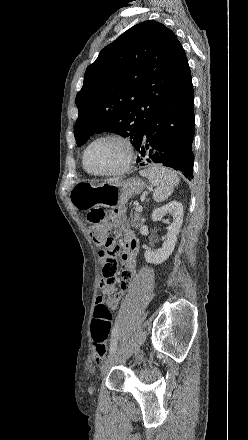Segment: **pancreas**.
Returning a JSON list of instances; mask_svg holds the SVG:
<instances>
[{
	"mask_svg": "<svg viewBox=\"0 0 248 440\" xmlns=\"http://www.w3.org/2000/svg\"><path fill=\"white\" fill-rule=\"evenodd\" d=\"M140 217H141V214L138 211H136L134 214H131L130 222L132 224V227H135V228L139 227Z\"/></svg>",
	"mask_w": 248,
	"mask_h": 440,
	"instance_id": "obj_1",
	"label": "pancreas"
}]
</instances>
